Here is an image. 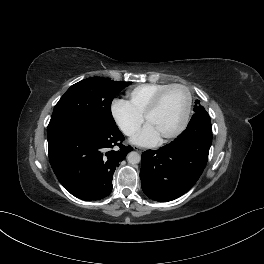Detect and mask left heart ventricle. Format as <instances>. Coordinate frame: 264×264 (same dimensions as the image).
Here are the masks:
<instances>
[{"label":"left heart ventricle","instance_id":"obj_1","mask_svg":"<svg viewBox=\"0 0 264 264\" xmlns=\"http://www.w3.org/2000/svg\"><path fill=\"white\" fill-rule=\"evenodd\" d=\"M186 105V93L180 88L171 89L164 96L158 109L148 118L149 123L163 137L180 124Z\"/></svg>","mask_w":264,"mask_h":264}]
</instances>
